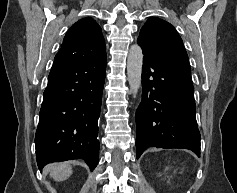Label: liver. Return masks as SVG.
Here are the masks:
<instances>
[{"mask_svg": "<svg viewBox=\"0 0 237 193\" xmlns=\"http://www.w3.org/2000/svg\"><path fill=\"white\" fill-rule=\"evenodd\" d=\"M55 181H64L72 174V167L68 163L50 164L45 168Z\"/></svg>", "mask_w": 237, "mask_h": 193, "instance_id": "6515ba94", "label": "liver"}]
</instances>
